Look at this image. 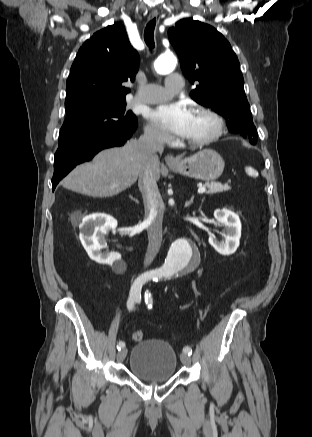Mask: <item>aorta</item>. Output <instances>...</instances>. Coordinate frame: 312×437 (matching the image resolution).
I'll return each mask as SVG.
<instances>
[{
    "instance_id": "1",
    "label": "aorta",
    "mask_w": 312,
    "mask_h": 437,
    "mask_svg": "<svg viewBox=\"0 0 312 437\" xmlns=\"http://www.w3.org/2000/svg\"><path fill=\"white\" fill-rule=\"evenodd\" d=\"M176 64V57L172 53H165L156 59L154 68L159 74H168ZM197 260L198 251L193 245L185 239H178L172 243L160 271L165 276H172L190 269Z\"/></svg>"
}]
</instances>
